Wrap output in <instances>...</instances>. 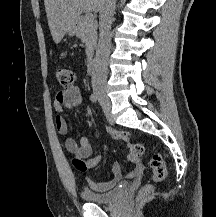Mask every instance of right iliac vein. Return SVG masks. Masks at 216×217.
<instances>
[{
  "mask_svg": "<svg viewBox=\"0 0 216 217\" xmlns=\"http://www.w3.org/2000/svg\"><path fill=\"white\" fill-rule=\"evenodd\" d=\"M94 93L97 96L98 100L100 101L103 109L105 111L109 112L110 108H111V104H110L109 98L106 94V89L103 87H95Z\"/></svg>",
  "mask_w": 216,
  "mask_h": 217,
  "instance_id": "63e3f726",
  "label": "right iliac vein"
}]
</instances>
